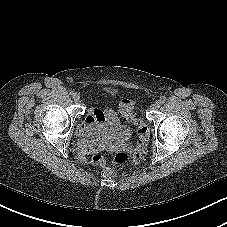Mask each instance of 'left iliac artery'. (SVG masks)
<instances>
[{"mask_svg": "<svg viewBox=\"0 0 227 227\" xmlns=\"http://www.w3.org/2000/svg\"><path fill=\"white\" fill-rule=\"evenodd\" d=\"M166 101V97L165 96H162L161 98H160V102L161 103H164Z\"/></svg>", "mask_w": 227, "mask_h": 227, "instance_id": "left-iliac-artery-1", "label": "left iliac artery"}]
</instances>
